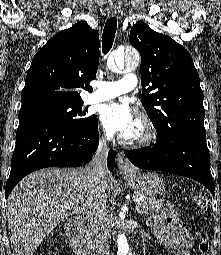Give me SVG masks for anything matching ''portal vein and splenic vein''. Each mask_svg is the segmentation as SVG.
Segmentation results:
<instances>
[{
	"label": "portal vein and splenic vein",
	"instance_id": "1",
	"mask_svg": "<svg viewBox=\"0 0 221 255\" xmlns=\"http://www.w3.org/2000/svg\"><path fill=\"white\" fill-rule=\"evenodd\" d=\"M136 203L139 204L140 203V199H136ZM136 209H139V207L136 206Z\"/></svg>",
	"mask_w": 221,
	"mask_h": 255
}]
</instances>
